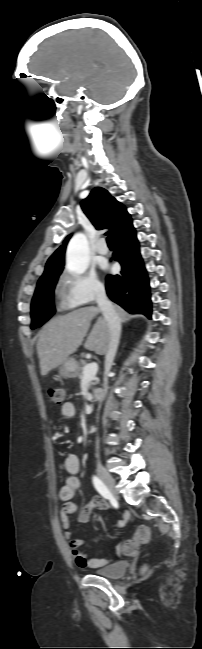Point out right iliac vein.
<instances>
[{"label": "right iliac vein", "mask_w": 202, "mask_h": 649, "mask_svg": "<svg viewBox=\"0 0 202 649\" xmlns=\"http://www.w3.org/2000/svg\"><path fill=\"white\" fill-rule=\"evenodd\" d=\"M97 472L100 475L102 481L106 485V487L109 489V491L116 496L117 494V489L115 485V481L113 477L105 470V468L101 465H97Z\"/></svg>", "instance_id": "obj_1"}]
</instances>
